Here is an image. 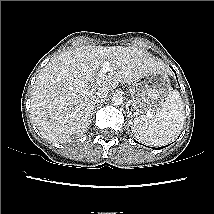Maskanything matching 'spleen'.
Here are the masks:
<instances>
[{
	"label": "spleen",
	"mask_w": 214,
	"mask_h": 214,
	"mask_svg": "<svg viewBox=\"0 0 214 214\" xmlns=\"http://www.w3.org/2000/svg\"><path fill=\"white\" fill-rule=\"evenodd\" d=\"M185 120L183 101L178 91H172L154 114L134 118L131 129L142 143L162 146L175 140Z\"/></svg>",
	"instance_id": "1"
}]
</instances>
